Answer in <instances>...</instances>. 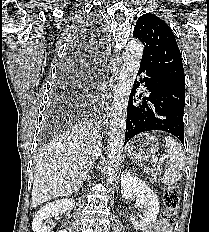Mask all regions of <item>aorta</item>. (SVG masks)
Returning a JSON list of instances; mask_svg holds the SVG:
<instances>
[{
    "instance_id": "1",
    "label": "aorta",
    "mask_w": 209,
    "mask_h": 232,
    "mask_svg": "<svg viewBox=\"0 0 209 232\" xmlns=\"http://www.w3.org/2000/svg\"><path fill=\"white\" fill-rule=\"evenodd\" d=\"M143 45L138 40L128 42L123 65L114 88V98L110 112V131L106 165V182L112 184L122 163V152L125 140L126 115L129 95L133 87L141 58Z\"/></svg>"
}]
</instances>
